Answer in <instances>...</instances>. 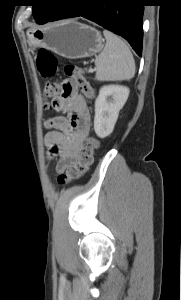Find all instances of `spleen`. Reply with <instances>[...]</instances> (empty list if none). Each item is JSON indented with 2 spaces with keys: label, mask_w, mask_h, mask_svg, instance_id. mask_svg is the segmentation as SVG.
I'll return each instance as SVG.
<instances>
[{
  "label": "spleen",
  "mask_w": 181,
  "mask_h": 300,
  "mask_svg": "<svg viewBox=\"0 0 181 300\" xmlns=\"http://www.w3.org/2000/svg\"><path fill=\"white\" fill-rule=\"evenodd\" d=\"M106 45L95 59L97 81L128 80L135 75V61L127 44L104 30Z\"/></svg>",
  "instance_id": "obj_1"
}]
</instances>
